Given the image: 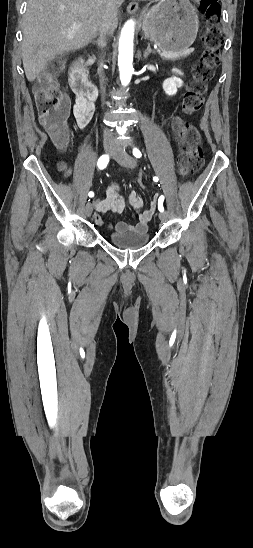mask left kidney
Returning <instances> with one entry per match:
<instances>
[{
	"label": "left kidney",
	"instance_id": "5707ae66",
	"mask_svg": "<svg viewBox=\"0 0 253 548\" xmlns=\"http://www.w3.org/2000/svg\"><path fill=\"white\" fill-rule=\"evenodd\" d=\"M172 72L179 75L183 74L179 69L176 68H173ZM182 85L183 81L176 75H173L172 77L167 78L163 81V90L167 95L173 96L177 93V89L182 87Z\"/></svg>",
	"mask_w": 253,
	"mask_h": 548
}]
</instances>
